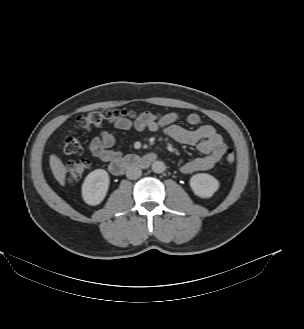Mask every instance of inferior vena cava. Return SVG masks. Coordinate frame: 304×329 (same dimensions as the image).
Segmentation results:
<instances>
[{
    "label": "inferior vena cava",
    "instance_id": "602c4592",
    "mask_svg": "<svg viewBox=\"0 0 304 329\" xmlns=\"http://www.w3.org/2000/svg\"><path fill=\"white\" fill-rule=\"evenodd\" d=\"M141 174H142V171L137 166H130L126 170V177L130 180L138 179L141 176Z\"/></svg>",
    "mask_w": 304,
    "mask_h": 329
}]
</instances>
